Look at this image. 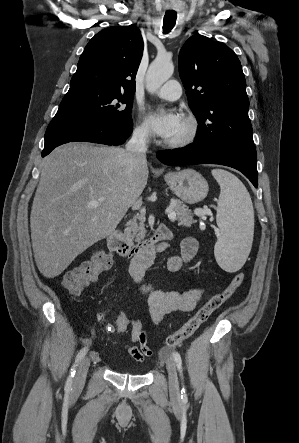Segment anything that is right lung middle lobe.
<instances>
[{"mask_svg": "<svg viewBox=\"0 0 299 443\" xmlns=\"http://www.w3.org/2000/svg\"><path fill=\"white\" fill-rule=\"evenodd\" d=\"M132 104V94L100 88H70L51 122L74 124L127 120L131 119Z\"/></svg>", "mask_w": 299, "mask_h": 443, "instance_id": "dd1d6c3e", "label": "right lung middle lobe"}]
</instances>
